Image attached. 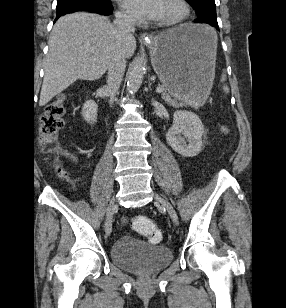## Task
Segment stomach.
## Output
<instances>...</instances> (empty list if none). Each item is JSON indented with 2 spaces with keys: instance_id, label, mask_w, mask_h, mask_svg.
I'll use <instances>...</instances> for the list:
<instances>
[{
  "instance_id": "1",
  "label": "stomach",
  "mask_w": 286,
  "mask_h": 308,
  "mask_svg": "<svg viewBox=\"0 0 286 308\" xmlns=\"http://www.w3.org/2000/svg\"><path fill=\"white\" fill-rule=\"evenodd\" d=\"M217 41L209 25L187 23L148 43L153 68L176 99L194 103L206 100L215 75Z\"/></svg>"
}]
</instances>
